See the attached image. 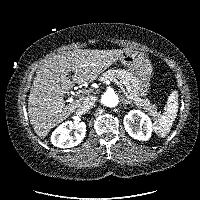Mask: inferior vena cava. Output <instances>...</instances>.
I'll use <instances>...</instances> for the list:
<instances>
[{
  "label": "inferior vena cava",
  "mask_w": 200,
  "mask_h": 200,
  "mask_svg": "<svg viewBox=\"0 0 200 200\" xmlns=\"http://www.w3.org/2000/svg\"><path fill=\"white\" fill-rule=\"evenodd\" d=\"M95 100V97H84L78 107V112L82 114L89 112V110L94 106Z\"/></svg>",
  "instance_id": "602c4592"
}]
</instances>
